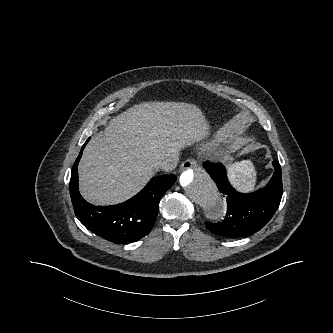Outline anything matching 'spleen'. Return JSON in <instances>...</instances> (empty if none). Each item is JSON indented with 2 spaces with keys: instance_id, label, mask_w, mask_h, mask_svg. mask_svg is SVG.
Returning a JSON list of instances; mask_svg holds the SVG:
<instances>
[{
  "instance_id": "spleen-1",
  "label": "spleen",
  "mask_w": 333,
  "mask_h": 333,
  "mask_svg": "<svg viewBox=\"0 0 333 333\" xmlns=\"http://www.w3.org/2000/svg\"><path fill=\"white\" fill-rule=\"evenodd\" d=\"M228 178L239 192L248 193L254 190L256 170L251 161L232 164L228 167Z\"/></svg>"
}]
</instances>
